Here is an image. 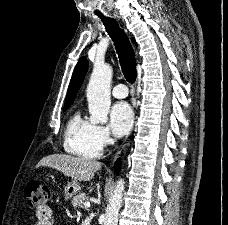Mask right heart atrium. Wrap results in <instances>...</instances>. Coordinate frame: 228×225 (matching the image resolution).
<instances>
[{"mask_svg":"<svg viewBox=\"0 0 228 225\" xmlns=\"http://www.w3.org/2000/svg\"><path fill=\"white\" fill-rule=\"evenodd\" d=\"M95 132L101 146H106L110 143L111 135L109 129L106 126L95 125Z\"/></svg>","mask_w":228,"mask_h":225,"instance_id":"obj_1","label":"right heart atrium"}]
</instances>
